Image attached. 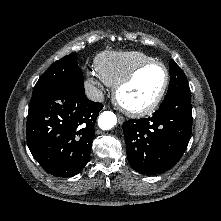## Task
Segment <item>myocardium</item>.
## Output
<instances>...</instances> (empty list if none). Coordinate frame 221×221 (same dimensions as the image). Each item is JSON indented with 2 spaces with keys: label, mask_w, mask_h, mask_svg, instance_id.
Instances as JSON below:
<instances>
[{
  "label": "myocardium",
  "mask_w": 221,
  "mask_h": 221,
  "mask_svg": "<svg viewBox=\"0 0 221 221\" xmlns=\"http://www.w3.org/2000/svg\"><path fill=\"white\" fill-rule=\"evenodd\" d=\"M151 66H159L164 71V75H165L164 82L160 91L158 92L157 96L153 99V101L144 107L132 108V107L127 106L125 103H123V101L120 98L121 90L125 88L126 86H128L130 83H132L142 70ZM169 82H170L169 71L162 62L156 61V60L143 62L139 64L138 66H136L135 68H133L124 78H122L114 86L113 100L116 103V105L126 114L133 116V117H143L154 112L156 108L160 105L169 87Z\"/></svg>",
  "instance_id": "myocardium-1"
}]
</instances>
